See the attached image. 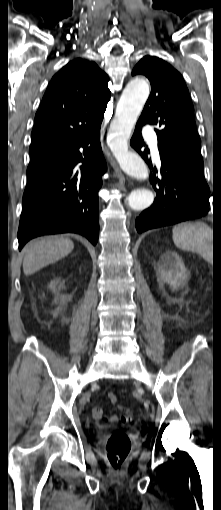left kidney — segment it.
<instances>
[{
	"label": "left kidney",
	"mask_w": 221,
	"mask_h": 510,
	"mask_svg": "<svg viewBox=\"0 0 221 510\" xmlns=\"http://www.w3.org/2000/svg\"><path fill=\"white\" fill-rule=\"evenodd\" d=\"M158 271L161 280L169 284L172 290L179 289L188 278L184 262L173 251L162 254L158 263Z\"/></svg>",
	"instance_id": "left-kidney-1"
}]
</instances>
